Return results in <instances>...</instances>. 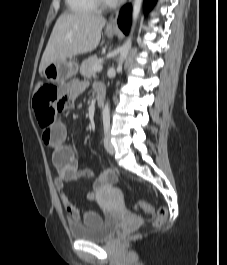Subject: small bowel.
I'll use <instances>...</instances> for the list:
<instances>
[{
    "mask_svg": "<svg viewBox=\"0 0 227 265\" xmlns=\"http://www.w3.org/2000/svg\"><path fill=\"white\" fill-rule=\"evenodd\" d=\"M61 92L65 99H59L58 112H69L75 101L87 88V84L80 80L64 81ZM102 87L96 86V89ZM42 140L52 150V161L58 172L55 186L70 220L75 223L83 222L93 225L101 221V216L93 211H84L76 207L65 193V184L78 179H93L90 191L87 193L89 201L99 198L100 190L104 185L116 181V174L111 169H105L96 175L91 169L80 168L72 148L67 144V130L60 121H54L48 128L43 129Z\"/></svg>",
    "mask_w": 227,
    "mask_h": 265,
    "instance_id": "small-bowel-1",
    "label": "small bowel"
}]
</instances>
